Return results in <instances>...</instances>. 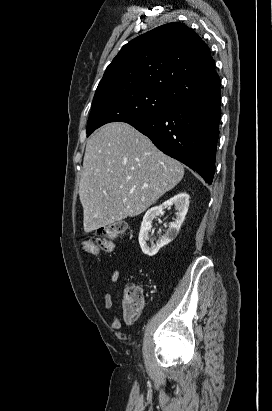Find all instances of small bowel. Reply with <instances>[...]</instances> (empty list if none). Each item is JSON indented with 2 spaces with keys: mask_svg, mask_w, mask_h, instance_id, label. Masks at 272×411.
Masks as SVG:
<instances>
[{
  "mask_svg": "<svg viewBox=\"0 0 272 411\" xmlns=\"http://www.w3.org/2000/svg\"><path fill=\"white\" fill-rule=\"evenodd\" d=\"M120 278V272L115 269L112 271L111 275H110V283L112 285H115ZM103 302H104V306L107 310H112L113 308V300H112V296L109 292H105L104 296H103ZM110 327L112 329H119L121 327V320L120 317L115 314L112 318V321L110 323Z\"/></svg>",
  "mask_w": 272,
  "mask_h": 411,
  "instance_id": "small-bowel-1",
  "label": "small bowel"
}]
</instances>
